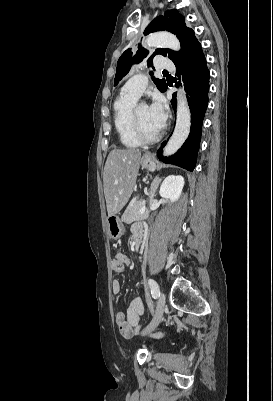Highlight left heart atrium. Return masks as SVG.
<instances>
[{
	"label": "left heart atrium",
	"mask_w": 273,
	"mask_h": 401,
	"mask_svg": "<svg viewBox=\"0 0 273 401\" xmlns=\"http://www.w3.org/2000/svg\"><path fill=\"white\" fill-rule=\"evenodd\" d=\"M147 109L152 123L161 130L165 126L167 119L165 102L159 97H154Z\"/></svg>",
	"instance_id": "obj_1"
}]
</instances>
